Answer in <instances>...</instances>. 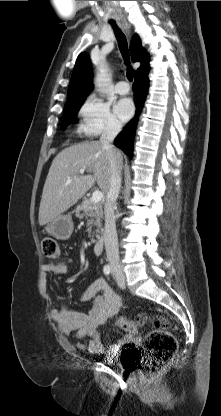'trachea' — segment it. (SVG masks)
<instances>
[{
  "instance_id": "1",
  "label": "trachea",
  "mask_w": 221,
  "mask_h": 416,
  "mask_svg": "<svg viewBox=\"0 0 221 416\" xmlns=\"http://www.w3.org/2000/svg\"><path fill=\"white\" fill-rule=\"evenodd\" d=\"M111 25L113 26L114 33H115L116 39L118 41L119 49H120V51L123 55V58L125 60L126 65H128L127 78H128L129 81H132L133 80V69H132V67L129 66L130 61H129L128 44H127L126 36L118 28V26L115 23H111Z\"/></svg>"
}]
</instances>
